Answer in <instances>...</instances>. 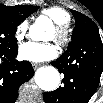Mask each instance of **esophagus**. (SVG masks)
<instances>
[{
	"label": "esophagus",
	"mask_w": 103,
	"mask_h": 103,
	"mask_svg": "<svg viewBox=\"0 0 103 103\" xmlns=\"http://www.w3.org/2000/svg\"><path fill=\"white\" fill-rule=\"evenodd\" d=\"M32 66H33L34 69H37V68H39L41 66V64H39V63H32Z\"/></svg>",
	"instance_id": "esophagus-1"
}]
</instances>
